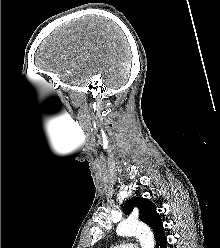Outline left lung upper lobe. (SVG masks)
<instances>
[{
	"instance_id": "5c2ea615",
	"label": "left lung upper lobe",
	"mask_w": 220,
	"mask_h": 248,
	"mask_svg": "<svg viewBox=\"0 0 220 248\" xmlns=\"http://www.w3.org/2000/svg\"><path fill=\"white\" fill-rule=\"evenodd\" d=\"M134 207L139 209V219L151 227L154 237L156 238L160 230L163 228L161 218L156 211V206L147 199L133 197L132 199L125 202L123 206V212L128 214L133 210Z\"/></svg>"
}]
</instances>
